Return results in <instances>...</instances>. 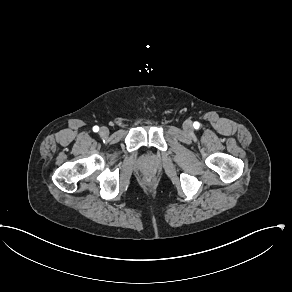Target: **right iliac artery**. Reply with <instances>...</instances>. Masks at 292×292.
I'll list each match as a JSON object with an SVG mask.
<instances>
[{
  "label": "right iliac artery",
  "instance_id": "1",
  "mask_svg": "<svg viewBox=\"0 0 292 292\" xmlns=\"http://www.w3.org/2000/svg\"><path fill=\"white\" fill-rule=\"evenodd\" d=\"M93 131H94V132H98V131H99V127H98V126H94V127H93Z\"/></svg>",
  "mask_w": 292,
  "mask_h": 292
}]
</instances>
